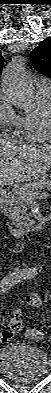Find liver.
Here are the masks:
<instances>
[{"label": "liver", "instance_id": "1", "mask_svg": "<svg viewBox=\"0 0 51 393\" xmlns=\"http://www.w3.org/2000/svg\"><path fill=\"white\" fill-rule=\"evenodd\" d=\"M51 168V146L26 145L0 139V184L32 181Z\"/></svg>", "mask_w": 51, "mask_h": 393}]
</instances>
